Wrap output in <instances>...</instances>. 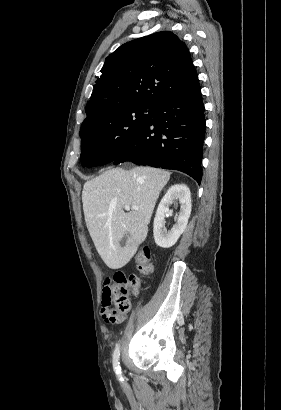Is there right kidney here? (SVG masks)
Segmentation results:
<instances>
[{
    "label": "right kidney",
    "instance_id": "right-kidney-1",
    "mask_svg": "<svg viewBox=\"0 0 281 410\" xmlns=\"http://www.w3.org/2000/svg\"><path fill=\"white\" fill-rule=\"evenodd\" d=\"M180 203V212L175 225L167 232L165 228V214L169 212V205ZM191 214V194L185 184H175L169 188L157 208L153 224L155 243L162 248L172 247L184 232Z\"/></svg>",
    "mask_w": 281,
    "mask_h": 410
}]
</instances>
